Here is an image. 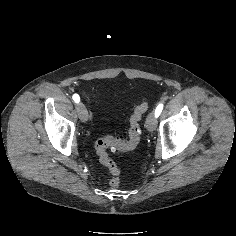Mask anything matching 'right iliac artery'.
<instances>
[{"instance_id": "82829eb1", "label": "right iliac artery", "mask_w": 236, "mask_h": 236, "mask_svg": "<svg viewBox=\"0 0 236 236\" xmlns=\"http://www.w3.org/2000/svg\"><path fill=\"white\" fill-rule=\"evenodd\" d=\"M73 100H74V102L78 103L80 101L79 95L78 94H74L73 95Z\"/></svg>"}]
</instances>
